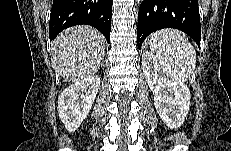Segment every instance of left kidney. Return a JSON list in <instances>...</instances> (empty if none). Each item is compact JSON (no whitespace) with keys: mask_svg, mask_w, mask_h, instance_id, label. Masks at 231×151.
<instances>
[{"mask_svg":"<svg viewBox=\"0 0 231 151\" xmlns=\"http://www.w3.org/2000/svg\"><path fill=\"white\" fill-rule=\"evenodd\" d=\"M142 66L157 113L168 127L179 128L189 111V88L169 65L148 51L142 54Z\"/></svg>","mask_w":231,"mask_h":151,"instance_id":"5707ae66","label":"left kidney"}]
</instances>
